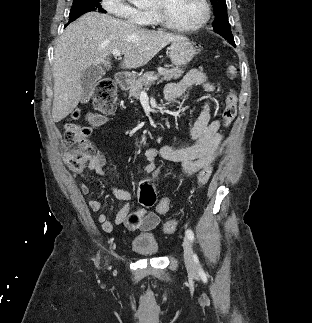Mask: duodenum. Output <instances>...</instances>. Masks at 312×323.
Here are the masks:
<instances>
[{
	"mask_svg": "<svg viewBox=\"0 0 312 323\" xmlns=\"http://www.w3.org/2000/svg\"><path fill=\"white\" fill-rule=\"evenodd\" d=\"M133 80V76L124 72H120L116 76V83L120 89H126L131 85V82ZM162 120L161 115H156L153 118L149 120V122L153 124H157Z\"/></svg>",
	"mask_w": 312,
	"mask_h": 323,
	"instance_id": "1",
	"label": "duodenum"
}]
</instances>
